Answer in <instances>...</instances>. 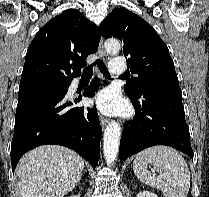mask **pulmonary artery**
<instances>
[{
  "label": "pulmonary artery",
  "instance_id": "obj_1",
  "mask_svg": "<svg viewBox=\"0 0 209 197\" xmlns=\"http://www.w3.org/2000/svg\"><path fill=\"white\" fill-rule=\"evenodd\" d=\"M109 70L113 74H123L126 72V65L123 58L115 57L109 64Z\"/></svg>",
  "mask_w": 209,
  "mask_h": 197
}]
</instances>
